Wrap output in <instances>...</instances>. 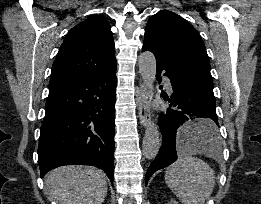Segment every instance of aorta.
Listing matches in <instances>:
<instances>
[{"label": "aorta", "mask_w": 261, "mask_h": 204, "mask_svg": "<svg viewBox=\"0 0 261 204\" xmlns=\"http://www.w3.org/2000/svg\"><path fill=\"white\" fill-rule=\"evenodd\" d=\"M138 64L143 82L151 91V95H149L151 97L154 82L156 80V59L154 54L150 51L141 53L138 59ZM160 145L161 139L158 125L155 121H150L146 127L143 138L142 152L144 157L148 160L154 159L159 152Z\"/></svg>", "instance_id": "obj_1"}]
</instances>
